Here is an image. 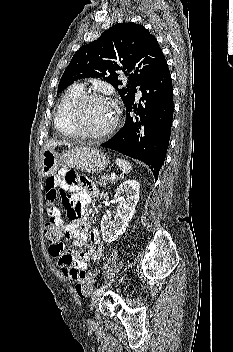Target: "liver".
Listing matches in <instances>:
<instances>
[{"instance_id": "obj_1", "label": "liver", "mask_w": 233, "mask_h": 352, "mask_svg": "<svg viewBox=\"0 0 233 352\" xmlns=\"http://www.w3.org/2000/svg\"><path fill=\"white\" fill-rule=\"evenodd\" d=\"M62 144H65V145H68V143H65V142H59V141H56V142H50V143H47L44 147V149H47V148H50L51 146H58V145H62Z\"/></svg>"}]
</instances>
